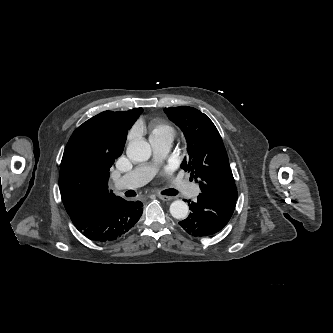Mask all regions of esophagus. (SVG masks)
I'll return each mask as SVG.
<instances>
[{"mask_svg": "<svg viewBox=\"0 0 333 333\" xmlns=\"http://www.w3.org/2000/svg\"><path fill=\"white\" fill-rule=\"evenodd\" d=\"M157 197L159 199H161L162 201H171L173 199V197H171V196H166V195H161V194H158Z\"/></svg>", "mask_w": 333, "mask_h": 333, "instance_id": "1", "label": "esophagus"}]
</instances>
